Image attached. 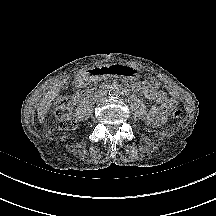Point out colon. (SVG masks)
Returning <instances> with one entry per match:
<instances>
[{
    "mask_svg": "<svg viewBox=\"0 0 216 216\" xmlns=\"http://www.w3.org/2000/svg\"><path fill=\"white\" fill-rule=\"evenodd\" d=\"M182 112L178 109L171 112L172 119H178ZM56 125L61 130H72L76 127V120L72 114V106L70 100L65 96H60L55 102Z\"/></svg>",
    "mask_w": 216,
    "mask_h": 216,
    "instance_id": "obj_1",
    "label": "colon"
}]
</instances>
